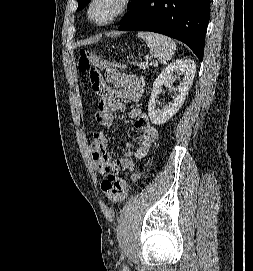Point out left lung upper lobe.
Segmentation results:
<instances>
[{
    "label": "left lung upper lobe",
    "mask_w": 253,
    "mask_h": 271,
    "mask_svg": "<svg viewBox=\"0 0 253 271\" xmlns=\"http://www.w3.org/2000/svg\"><path fill=\"white\" fill-rule=\"evenodd\" d=\"M136 0H131V3L128 5L129 11L128 13L124 16V18L122 19V21L129 15V13L131 12V10L133 9L134 3ZM89 0H78V8L77 11L82 10L87 4H88ZM121 21V22H122Z\"/></svg>",
    "instance_id": "left-lung-upper-lobe-1"
}]
</instances>
